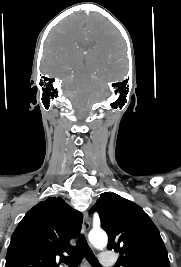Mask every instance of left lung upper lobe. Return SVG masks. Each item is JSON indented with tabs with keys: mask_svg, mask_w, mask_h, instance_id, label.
Listing matches in <instances>:
<instances>
[{
	"mask_svg": "<svg viewBox=\"0 0 181 267\" xmlns=\"http://www.w3.org/2000/svg\"><path fill=\"white\" fill-rule=\"evenodd\" d=\"M108 233V250L120 253L115 267H170L157 227L143 209L115 194L102 193L91 208Z\"/></svg>",
	"mask_w": 181,
	"mask_h": 267,
	"instance_id": "1",
	"label": "left lung upper lobe"
}]
</instances>
